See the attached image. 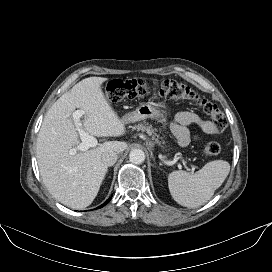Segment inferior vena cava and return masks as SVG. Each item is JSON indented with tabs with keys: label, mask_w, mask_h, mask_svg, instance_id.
I'll use <instances>...</instances> for the list:
<instances>
[{
	"label": "inferior vena cava",
	"mask_w": 272,
	"mask_h": 272,
	"mask_svg": "<svg viewBox=\"0 0 272 272\" xmlns=\"http://www.w3.org/2000/svg\"><path fill=\"white\" fill-rule=\"evenodd\" d=\"M118 158V154L114 151H106L102 154V161L107 166H113Z\"/></svg>",
	"instance_id": "1"
}]
</instances>
